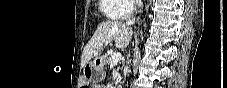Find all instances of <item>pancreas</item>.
Segmentation results:
<instances>
[{"mask_svg":"<svg viewBox=\"0 0 227 88\" xmlns=\"http://www.w3.org/2000/svg\"><path fill=\"white\" fill-rule=\"evenodd\" d=\"M111 58H112V54H106L104 56V60H105L106 64H108V65L111 64Z\"/></svg>","mask_w":227,"mask_h":88,"instance_id":"1","label":"pancreas"}]
</instances>
